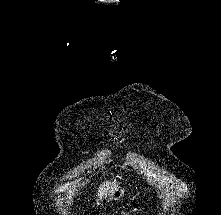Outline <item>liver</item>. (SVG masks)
<instances>
[{
  "mask_svg": "<svg viewBox=\"0 0 221 215\" xmlns=\"http://www.w3.org/2000/svg\"><path fill=\"white\" fill-rule=\"evenodd\" d=\"M118 188V183L116 182V180L114 181H107L104 182L100 185L97 196H98V200H102L104 198H107L114 190H116ZM97 200V201H98Z\"/></svg>",
  "mask_w": 221,
  "mask_h": 215,
  "instance_id": "obj_1",
  "label": "liver"
}]
</instances>
